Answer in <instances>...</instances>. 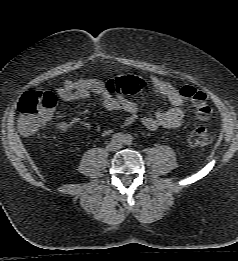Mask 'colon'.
<instances>
[{"label":"colon","instance_id":"1","mask_svg":"<svg viewBox=\"0 0 238 261\" xmlns=\"http://www.w3.org/2000/svg\"><path fill=\"white\" fill-rule=\"evenodd\" d=\"M146 86V82L133 75L120 76L108 80L106 89L111 94H135ZM181 95L192 102L198 118L205 120L211 115L204 92L186 85L180 90ZM58 99L49 91L26 92L20 98L18 109V127L25 136H31L42 128L50 110L56 106ZM189 142L195 147H204L211 142V135L203 125H196L189 135Z\"/></svg>","mask_w":238,"mask_h":261}]
</instances>
